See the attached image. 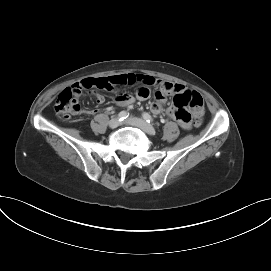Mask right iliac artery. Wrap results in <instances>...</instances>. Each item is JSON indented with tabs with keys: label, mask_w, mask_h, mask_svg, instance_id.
I'll return each instance as SVG.
<instances>
[{
	"label": "right iliac artery",
	"mask_w": 271,
	"mask_h": 271,
	"mask_svg": "<svg viewBox=\"0 0 271 271\" xmlns=\"http://www.w3.org/2000/svg\"><path fill=\"white\" fill-rule=\"evenodd\" d=\"M128 113L126 111H121L119 114H118V118L120 121H123L125 120L127 117H128Z\"/></svg>",
	"instance_id": "right-iliac-artery-1"
}]
</instances>
